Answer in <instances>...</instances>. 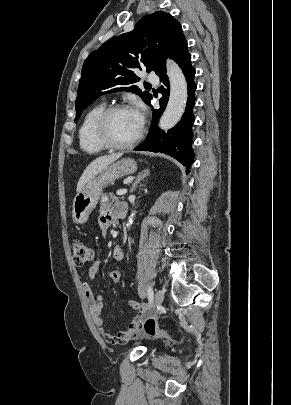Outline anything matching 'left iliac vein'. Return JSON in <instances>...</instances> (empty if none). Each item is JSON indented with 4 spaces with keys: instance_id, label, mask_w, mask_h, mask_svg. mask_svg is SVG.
<instances>
[{
    "instance_id": "left-iliac-vein-1",
    "label": "left iliac vein",
    "mask_w": 291,
    "mask_h": 405,
    "mask_svg": "<svg viewBox=\"0 0 291 405\" xmlns=\"http://www.w3.org/2000/svg\"><path fill=\"white\" fill-rule=\"evenodd\" d=\"M164 300V292L158 290L155 294V305L160 306Z\"/></svg>"
}]
</instances>
